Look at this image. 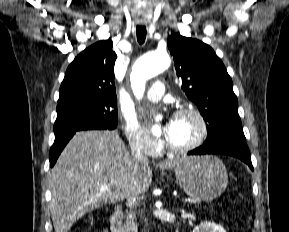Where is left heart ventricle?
I'll return each mask as SVG.
<instances>
[{
	"instance_id": "b2bd125f",
	"label": "left heart ventricle",
	"mask_w": 289,
	"mask_h": 232,
	"mask_svg": "<svg viewBox=\"0 0 289 232\" xmlns=\"http://www.w3.org/2000/svg\"><path fill=\"white\" fill-rule=\"evenodd\" d=\"M199 133V124L194 116L183 114L173 117V129L169 144L181 147L196 139Z\"/></svg>"
}]
</instances>
